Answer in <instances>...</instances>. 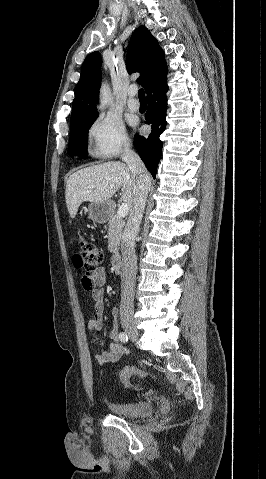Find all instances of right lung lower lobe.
<instances>
[{
    "label": "right lung lower lobe",
    "instance_id": "1",
    "mask_svg": "<svg viewBox=\"0 0 266 479\" xmlns=\"http://www.w3.org/2000/svg\"><path fill=\"white\" fill-rule=\"evenodd\" d=\"M167 90L168 86L165 80L146 93L148 111L145 114V123L151 125L152 131L148 137H142L138 134L134 137L135 147L153 178L156 176L157 166L162 154L163 144L159 137L166 128Z\"/></svg>",
    "mask_w": 266,
    "mask_h": 479
}]
</instances>
